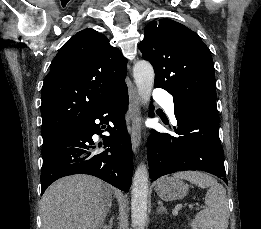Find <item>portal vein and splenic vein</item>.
<instances>
[{
    "mask_svg": "<svg viewBox=\"0 0 261 229\" xmlns=\"http://www.w3.org/2000/svg\"><path fill=\"white\" fill-rule=\"evenodd\" d=\"M184 207H185V204L177 203L176 206H175V208H174L173 211H172L171 217H172V218L177 217L179 210H183ZM188 207H189V209H193V205H188ZM196 207H197V208H200V207H201V204H200V203H197V204H196Z\"/></svg>",
    "mask_w": 261,
    "mask_h": 229,
    "instance_id": "obj_1",
    "label": "portal vein and splenic vein"
}]
</instances>
